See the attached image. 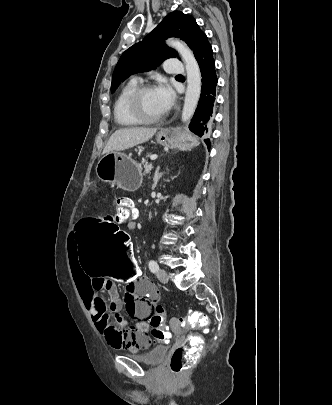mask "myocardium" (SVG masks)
<instances>
[{
  "mask_svg": "<svg viewBox=\"0 0 332 405\" xmlns=\"http://www.w3.org/2000/svg\"><path fill=\"white\" fill-rule=\"evenodd\" d=\"M155 89V86L152 84H145L137 87L132 94L130 95L128 99V111L130 115L136 119L138 122L143 123V124H151V123H156L161 120H163L166 117V113L157 116V117H148L145 115L143 109H142V97L143 95L150 91Z\"/></svg>",
  "mask_w": 332,
  "mask_h": 405,
  "instance_id": "myocardium-1",
  "label": "myocardium"
}]
</instances>
